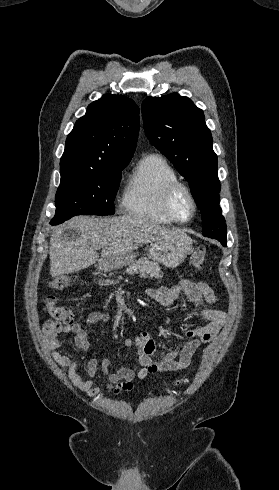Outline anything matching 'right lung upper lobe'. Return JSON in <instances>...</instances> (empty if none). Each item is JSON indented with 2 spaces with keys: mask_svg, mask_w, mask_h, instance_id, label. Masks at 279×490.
<instances>
[{
  "mask_svg": "<svg viewBox=\"0 0 279 490\" xmlns=\"http://www.w3.org/2000/svg\"><path fill=\"white\" fill-rule=\"evenodd\" d=\"M139 108L122 95L106 94L91 103L67 136L64 168H104L128 164L136 148Z\"/></svg>",
  "mask_w": 279,
  "mask_h": 490,
  "instance_id": "right-lung-upper-lobe-1",
  "label": "right lung upper lobe"
}]
</instances>
